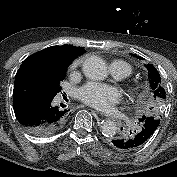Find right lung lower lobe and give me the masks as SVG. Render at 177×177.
<instances>
[{
	"instance_id": "right-lung-lower-lobe-1",
	"label": "right lung lower lobe",
	"mask_w": 177,
	"mask_h": 177,
	"mask_svg": "<svg viewBox=\"0 0 177 177\" xmlns=\"http://www.w3.org/2000/svg\"><path fill=\"white\" fill-rule=\"evenodd\" d=\"M54 96L14 86L13 106L19 123L32 135L42 137L59 131L68 120V110L54 106Z\"/></svg>"
}]
</instances>
